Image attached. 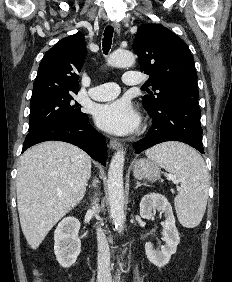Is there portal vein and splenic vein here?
Returning <instances> with one entry per match:
<instances>
[{
    "label": "portal vein and splenic vein",
    "mask_w": 232,
    "mask_h": 282,
    "mask_svg": "<svg viewBox=\"0 0 232 282\" xmlns=\"http://www.w3.org/2000/svg\"><path fill=\"white\" fill-rule=\"evenodd\" d=\"M170 179L174 180L175 178L173 176H169Z\"/></svg>",
    "instance_id": "obj_1"
}]
</instances>
